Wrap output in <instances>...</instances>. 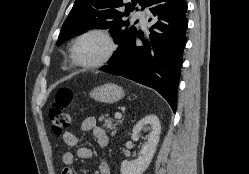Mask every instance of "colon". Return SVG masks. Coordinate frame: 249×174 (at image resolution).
I'll list each match as a JSON object with an SVG mask.
<instances>
[{"instance_id": "5ec220e1", "label": "colon", "mask_w": 249, "mask_h": 174, "mask_svg": "<svg viewBox=\"0 0 249 174\" xmlns=\"http://www.w3.org/2000/svg\"><path fill=\"white\" fill-rule=\"evenodd\" d=\"M73 100V93L69 88L61 89L56 96V103L50 109L48 119L52 131L60 135L65 132L71 124V117L67 109Z\"/></svg>"}]
</instances>
